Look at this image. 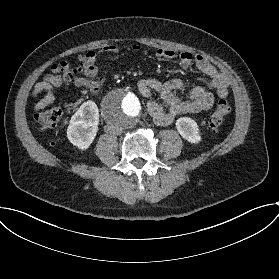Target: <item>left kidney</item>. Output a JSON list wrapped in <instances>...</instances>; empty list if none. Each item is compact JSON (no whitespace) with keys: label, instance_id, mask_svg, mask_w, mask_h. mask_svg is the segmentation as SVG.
I'll use <instances>...</instances> for the list:
<instances>
[{"label":"left kidney","instance_id":"5707ae66","mask_svg":"<svg viewBox=\"0 0 279 279\" xmlns=\"http://www.w3.org/2000/svg\"><path fill=\"white\" fill-rule=\"evenodd\" d=\"M176 128L179 134L191 143H199L201 136L195 120L190 117H181L176 120Z\"/></svg>","mask_w":279,"mask_h":279}]
</instances>
